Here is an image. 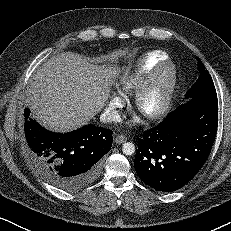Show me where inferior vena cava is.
Here are the masks:
<instances>
[{"label": "inferior vena cava", "instance_id": "inferior-vena-cava-1", "mask_svg": "<svg viewBox=\"0 0 231 231\" xmlns=\"http://www.w3.org/2000/svg\"><path fill=\"white\" fill-rule=\"evenodd\" d=\"M120 115L117 111H105L100 116V121L104 123L119 122Z\"/></svg>", "mask_w": 231, "mask_h": 231}]
</instances>
